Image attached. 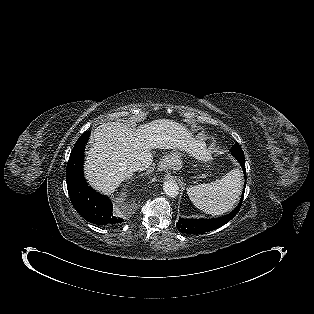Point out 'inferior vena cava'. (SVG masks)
I'll list each match as a JSON object with an SVG mask.
<instances>
[{
  "label": "inferior vena cava",
  "instance_id": "1",
  "mask_svg": "<svg viewBox=\"0 0 314 314\" xmlns=\"http://www.w3.org/2000/svg\"><path fill=\"white\" fill-rule=\"evenodd\" d=\"M143 169H144L143 165L140 162H133L127 168L128 172L131 173V174L133 172H136V171H139V170H143Z\"/></svg>",
  "mask_w": 314,
  "mask_h": 314
}]
</instances>
